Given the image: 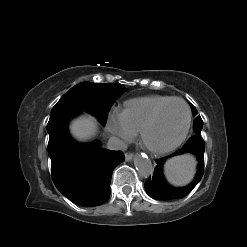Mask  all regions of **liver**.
Wrapping results in <instances>:
<instances>
[{"label":"liver","instance_id":"obj_1","mask_svg":"<svg viewBox=\"0 0 247 247\" xmlns=\"http://www.w3.org/2000/svg\"><path fill=\"white\" fill-rule=\"evenodd\" d=\"M70 132L75 139L88 141L96 135L97 121L91 115H82L71 122Z\"/></svg>","mask_w":247,"mask_h":247}]
</instances>
